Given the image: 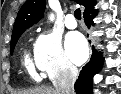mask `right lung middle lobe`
Returning a JSON list of instances; mask_svg holds the SVG:
<instances>
[{
	"instance_id": "dd1d6c3e",
	"label": "right lung middle lobe",
	"mask_w": 121,
	"mask_h": 94,
	"mask_svg": "<svg viewBox=\"0 0 121 94\" xmlns=\"http://www.w3.org/2000/svg\"><path fill=\"white\" fill-rule=\"evenodd\" d=\"M22 33H23V32H20V33L14 35V36L12 37V39H11V44H10L11 53H13L14 47H15V45H16V42H17V40L19 39V37L21 36Z\"/></svg>"
}]
</instances>
